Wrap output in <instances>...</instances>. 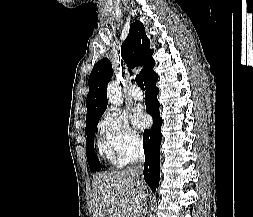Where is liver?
Masks as SVG:
<instances>
[{
	"label": "liver",
	"mask_w": 253,
	"mask_h": 217,
	"mask_svg": "<svg viewBox=\"0 0 253 217\" xmlns=\"http://www.w3.org/2000/svg\"><path fill=\"white\" fill-rule=\"evenodd\" d=\"M133 178L126 170L95 175L93 217H138Z\"/></svg>",
	"instance_id": "6515ba94"
}]
</instances>
